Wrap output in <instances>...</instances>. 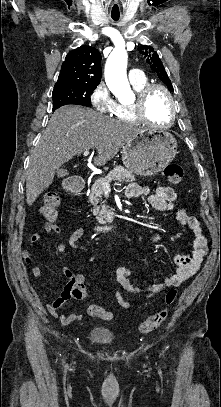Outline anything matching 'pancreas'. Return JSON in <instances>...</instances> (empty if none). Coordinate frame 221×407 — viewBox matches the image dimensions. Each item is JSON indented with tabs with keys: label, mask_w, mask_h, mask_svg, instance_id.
Instances as JSON below:
<instances>
[{
	"label": "pancreas",
	"mask_w": 221,
	"mask_h": 407,
	"mask_svg": "<svg viewBox=\"0 0 221 407\" xmlns=\"http://www.w3.org/2000/svg\"><path fill=\"white\" fill-rule=\"evenodd\" d=\"M134 180L135 176L130 170H127L122 166H116L105 177L96 180L92 184L88 198L93 206L92 213L99 223L104 224L106 222H111L113 219V213L107 209V206H98L102 201L104 193L102 182H132Z\"/></svg>",
	"instance_id": "obj_1"
}]
</instances>
